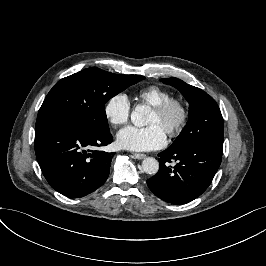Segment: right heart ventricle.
<instances>
[{
    "instance_id": "1",
    "label": "right heart ventricle",
    "mask_w": 266,
    "mask_h": 266,
    "mask_svg": "<svg viewBox=\"0 0 266 266\" xmlns=\"http://www.w3.org/2000/svg\"><path fill=\"white\" fill-rule=\"evenodd\" d=\"M170 97H173L172 92L159 85H151L141 88L136 93L137 100L152 107L162 103Z\"/></svg>"
}]
</instances>
